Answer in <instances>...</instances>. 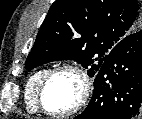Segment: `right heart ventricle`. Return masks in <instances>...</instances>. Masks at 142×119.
<instances>
[{
  "label": "right heart ventricle",
  "mask_w": 142,
  "mask_h": 119,
  "mask_svg": "<svg viewBox=\"0 0 142 119\" xmlns=\"http://www.w3.org/2000/svg\"><path fill=\"white\" fill-rule=\"evenodd\" d=\"M49 69L42 68L34 72L26 82L24 90V101L26 108L31 113H38L39 108L37 106L36 95L39 84Z\"/></svg>",
  "instance_id": "e07e8e85"
}]
</instances>
